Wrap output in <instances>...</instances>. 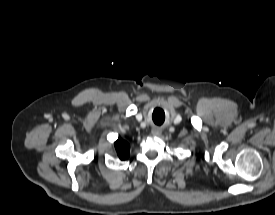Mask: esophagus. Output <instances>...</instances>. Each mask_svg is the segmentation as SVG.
<instances>
[{
  "label": "esophagus",
  "mask_w": 275,
  "mask_h": 215,
  "mask_svg": "<svg viewBox=\"0 0 275 215\" xmlns=\"http://www.w3.org/2000/svg\"><path fill=\"white\" fill-rule=\"evenodd\" d=\"M160 134V130L158 128L152 129V135L153 136H158Z\"/></svg>",
  "instance_id": "34e87169"
}]
</instances>
